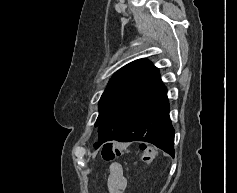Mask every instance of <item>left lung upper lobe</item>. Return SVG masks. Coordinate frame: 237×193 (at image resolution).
<instances>
[{
	"label": "left lung upper lobe",
	"instance_id": "obj_1",
	"mask_svg": "<svg viewBox=\"0 0 237 193\" xmlns=\"http://www.w3.org/2000/svg\"><path fill=\"white\" fill-rule=\"evenodd\" d=\"M160 79L158 69L145 59L131 62L121 68L109 81L99 101L100 146L103 142L116 140L147 90Z\"/></svg>",
	"mask_w": 237,
	"mask_h": 193
}]
</instances>
